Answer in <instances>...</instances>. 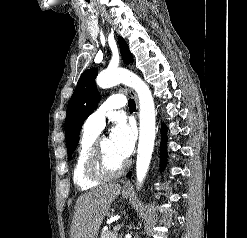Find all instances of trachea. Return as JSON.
Segmentation results:
<instances>
[{"label": "trachea", "instance_id": "trachea-1", "mask_svg": "<svg viewBox=\"0 0 247 238\" xmlns=\"http://www.w3.org/2000/svg\"><path fill=\"white\" fill-rule=\"evenodd\" d=\"M128 106L130 109H135L136 108L135 101L133 99H129Z\"/></svg>", "mask_w": 247, "mask_h": 238}]
</instances>
